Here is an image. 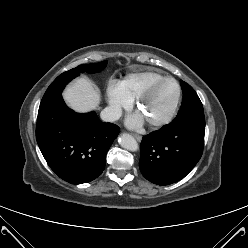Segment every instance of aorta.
<instances>
[{"label": "aorta", "mask_w": 248, "mask_h": 248, "mask_svg": "<svg viewBox=\"0 0 248 248\" xmlns=\"http://www.w3.org/2000/svg\"><path fill=\"white\" fill-rule=\"evenodd\" d=\"M119 144L130 151H137L138 150V143L133 136L130 134L124 133L118 139Z\"/></svg>", "instance_id": "obj_1"}]
</instances>
